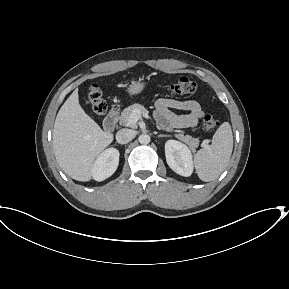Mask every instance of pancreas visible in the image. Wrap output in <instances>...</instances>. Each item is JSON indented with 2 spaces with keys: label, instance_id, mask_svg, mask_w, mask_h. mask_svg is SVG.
I'll return each mask as SVG.
<instances>
[{
  "label": "pancreas",
  "instance_id": "1",
  "mask_svg": "<svg viewBox=\"0 0 289 289\" xmlns=\"http://www.w3.org/2000/svg\"><path fill=\"white\" fill-rule=\"evenodd\" d=\"M135 110H138L140 111L141 113H146L147 112V109L140 105V104H133L127 108H125L121 115L119 116V120H120V123L125 125V126H128V127H136V123H131L130 122V115L132 114L133 111ZM176 137L185 142L187 145H189V147L195 151L196 148L198 147L199 145V139L197 138H193L192 136L190 135H183V134H177Z\"/></svg>",
  "mask_w": 289,
  "mask_h": 289
}]
</instances>
